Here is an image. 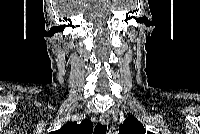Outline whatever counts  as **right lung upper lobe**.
Wrapping results in <instances>:
<instances>
[{"instance_id": "right-lung-upper-lobe-1", "label": "right lung upper lobe", "mask_w": 200, "mask_h": 134, "mask_svg": "<svg viewBox=\"0 0 200 134\" xmlns=\"http://www.w3.org/2000/svg\"><path fill=\"white\" fill-rule=\"evenodd\" d=\"M54 134H91L92 123L90 120H84L80 124L76 122L67 123L61 129L52 132Z\"/></svg>"}]
</instances>
